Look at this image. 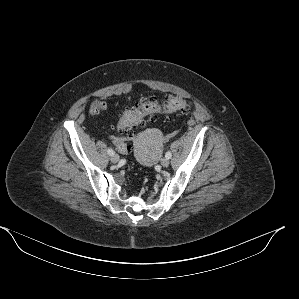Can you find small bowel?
Returning a JSON list of instances; mask_svg holds the SVG:
<instances>
[{
    "label": "small bowel",
    "instance_id": "c3829d8e",
    "mask_svg": "<svg viewBox=\"0 0 299 299\" xmlns=\"http://www.w3.org/2000/svg\"><path fill=\"white\" fill-rule=\"evenodd\" d=\"M110 139L112 140V142L114 143V145L116 147H117L118 142H120V141L127 143L131 140V138H128V137H118V136H111ZM121 153L124 154L123 152H121Z\"/></svg>",
    "mask_w": 299,
    "mask_h": 299
}]
</instances>
